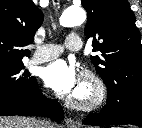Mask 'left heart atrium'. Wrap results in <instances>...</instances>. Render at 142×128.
I'll use <instances>...</instances> for the list:
<instances>
[{
  "label": "left heart atrium",
  "mask_w": 142,
  "mask_h": 128,
  "mask_svg": "<svg viewBox=\"0 0 142 128\" xmlns=\"http://www.w3.org/2000/svg\"><path fill=\"white\" fill-rule=\"evenodd\" d=\"M42 77L45 85L58 95H74L81 86L75 67L64 60L50 63L45 67Z\"/></svg>",
  "instance_id": "39dd6f15"
}]
</instances>
